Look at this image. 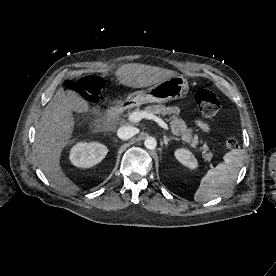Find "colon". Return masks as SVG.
Wrapping results in <instances>:
<instances>
[{
    "instance_id": "5ec220e1",
    "label": "colon",
    "mask_w": 276,
    "mask_h": 276,
    "mask_svg": "<svg viewBox=\"0 0 276 276\" xmlns=\"http://www.w3.org/2000/svg\"><path fill=\"white\" fill-rule=\"evenodd\" d=\"M71 89L82 94L88 101L90 111H94L97 108L98 94L102 88V83L92 77H83L76 79L71 83ZM195 102L200 112L207 118H215L220 109V102L217 95L207 88H200L195 93ZM90 117L86 118L89 121ZM224 146L229 151H235L239 148V142L235 137H229L226 139Z\"/></svg>"
}]
</instances>
